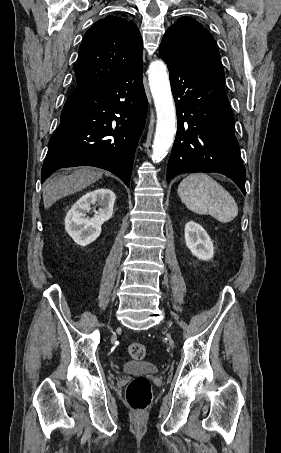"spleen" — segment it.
<instances>
[{"instance_id": "3e777b00", "label": "spleen", "mask_w": 281, "mask_h": 453, "mask_svg": "<svg viewBox=\"0 0 281 453\" xmlns=\"http://www.w3.org/2000/svg\"><path fill=\"white\" fill-rule=\"evenodd\" d=\"M178 194L189 210L197 214H211L220 222H230L238 214L233 196L204 172H195L183 178Z\"/></svg>"}]
</instances>
